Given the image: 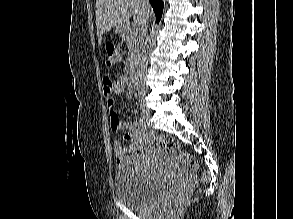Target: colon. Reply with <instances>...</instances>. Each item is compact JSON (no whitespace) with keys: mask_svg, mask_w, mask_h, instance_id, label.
Here are the masks:
<instances>
[{"mask_svg":"<svg viewBox=\"0 0 293 219\" xmlns=\"http://www.w3.org/2000/svg\"><path fill=\"white\" fill-rule=\"evenodd\" d=\"M106 63L108 66L117 64L122 59V52L113 44H107L105 48ZM154 142L159 148L172 154L177 161L188 171H196L198 168L197 159L185 152L179 151V142L172 136L158 135L153 137ZM209 174L206 171H202L199 175L200 182H207ZM193 185L188 184L179 188L174 192L166 201V205L170 210H175L181 206L184 200L192 193Z\"/></svg>","mask_w":293,"mask_h":219,"instance_id":"colon-1","label":"colon"}]
</instances>
